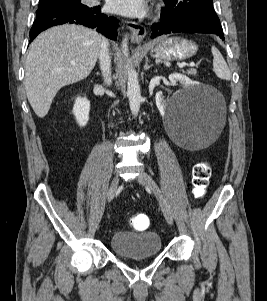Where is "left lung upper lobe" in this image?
I'll return each instance as SVG.
<instances>
[{
  "instance_id": "1",
  "label": "left lung upper lobe",
  "mask_w": 267,
  "mask_h": 301,
  "mask_svg": "<svg viewBox=\"0 0 267 301\" xmlns=\"http://www.w3.org/2000/svg\"><path fill=\"white\" fill-rule=\"evenodd\" d=\"M166 7L161 16L171 21L198 20L216 28H221L220 20L213 8V0H164Z\"/></svg>"
}]
</instances>
